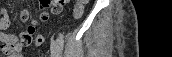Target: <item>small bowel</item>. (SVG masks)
<instances>
[{
    "instance_id": "small-bowel-1",
    "label": "small bowel",
    "mask_w": 172,
    "mask_h": 57,
    "mask_svg": "<svg viewBox=\"0 0 172 57\" xmlns=\"http://www.w3.org/2000/svg\"><path fill=\"white\" fill-rule=\"evenodd\" d=\"M67 0H40L39 7L43 10L38 19H32L29 25L19 34L9 32L11 20L7 11L4 8L0 9V52L8 57L18 56L23 48L29 45L40 46L45 37L41 34L35 35L36 27L39 22L49 20L50 14H58L61 12ZM29 17V12L23 10L20 18L26 21Z\"/></svg>"
}]
</instances>
